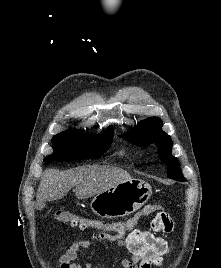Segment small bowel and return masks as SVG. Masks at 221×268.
<instances>
[{
  "label": "small bowel",
  "mask_w": 221,
  "mask_h": 268,
  "mask_svg": "<svg viewBox=\"0 0 221 268\" xmlns=\"http://www.w3.org/2000/svg\"><path fill=\"white\" fill-rule=\"evenodd\" d=\"M173 220L161 213L150 222V230L134 228L128 232L101 231L92 235L91 239H79L60 255L58 268H93L92 264L82 263L79 255L83 250L92 247V241L115 243L124 249L128 257L120 260L121 268L162 267L164 256L171 252V245L156 232L169 233L173 230Z\"/></svg>",
  "instance_id": "obj_1"
}]
</instances>
